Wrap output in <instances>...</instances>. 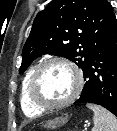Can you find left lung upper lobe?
Masks as SVG:
<instances>
[{"instance_id": "5c2ea615", "label": "left lung upper lobe", "mask_w": 117, "mask_h": 131, "mask_svg": "<svg viewBox=\"0 0 117 131\" xmlns=\"http://www.w3.org/2000/svg\"><path fill=\"white\" fill-rule=\"evenodd\" d=\"M112 13L106 0H52L33 22L19 73L44 54L65 57L84 71L104 41Z\"/></svg>"}]
</instances>
